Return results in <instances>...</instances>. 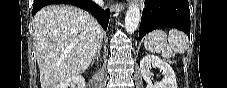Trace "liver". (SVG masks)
I'll list each match as a JSON object with an SVG mask.
<instances>
[{
  "mask_svg": "<svg viewBox=\"0 0 227 88\" xmlns=\"http://www.w3.org/2000/svg\"><path fill=\"white\" fill-rule=\"evenodd\" d=\"M33 39L41 88H56L83 73L101 48L103 30L86 11L72 5H50L33 19Z\"/></svg>",
  "mask_w": 227,
  "mask_h": 88,
  "instance_id": "6515ba94",
  "label": "liver"
}]
</instances>
